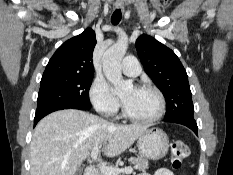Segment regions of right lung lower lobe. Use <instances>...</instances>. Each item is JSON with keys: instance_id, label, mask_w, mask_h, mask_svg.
Instances as JSON below:
<instances>
[{"instance_id": "98d812e1", "label": "right lung lower lobe", "mask_w": 233, "mask_h": 175, "mask_svg": "<svg viewBox=\"0 0 233 175\" xmlns=\"http://www.w3.org/2000/svg\"><path fill=\"white\" fill-rule=\"evenodd\" d=\"M69 108H72V109H80V110H88L86 108H83V107H54V108H49L45 111H42L40 113H36L35 114V118H34V126L38 123V121L40 119H42L44 116L48 115L49 113L51 112H54V111H57V110H62V109H69Z\"/></svg>"}]
</instances>
